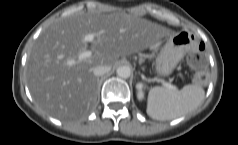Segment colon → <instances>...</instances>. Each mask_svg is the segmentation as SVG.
<instances>
[{"label": "colon", "instance_id": "5ec220e1", "mask_svg": "<svg viewBox=\"0 0 238 145\" xmlns=\"http://www.w3.org/2000/svg\"><path fill=\"white\" fill-rule=\"evenodd\" d=\"M190 66L197 70L194 80L198 84L206 82V50L204 44H200L198 49L190 57Z\"/></svg>", "mask_w": 238, "mask_h": 145}]
</instances>
